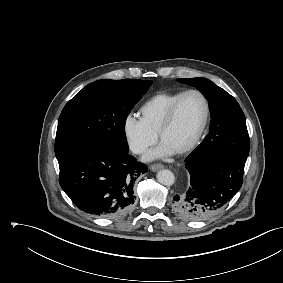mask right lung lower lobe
I'll use <instances>...</instances> for the list:
<instances>
[{"mask_svg":"<svg viewBox=\"0 0 283 283\" xmlns=\"http://www.w3.org/2000/svg\"><path fill=\"white\" fill-rule=\"evenodd\" d=\"M58 162L62 189L79 209L99 217L127 213L134 182L148 170L128 152L107 145L78 149Z\"/></svg>","mask_w":283,"mask_h":283,"instance_id":"obj_1","label":"right lung lower lobe"}]
</instances>
